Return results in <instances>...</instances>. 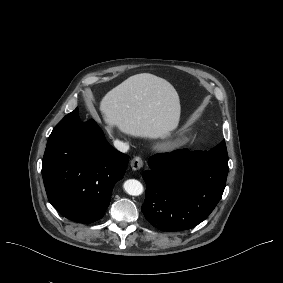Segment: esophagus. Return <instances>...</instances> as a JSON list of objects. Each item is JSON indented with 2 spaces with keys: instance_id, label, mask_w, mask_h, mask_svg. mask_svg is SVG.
<instances>
[{
  "instance_id": "1",
  "label": "esophagus",
  "mask_w": 283,
  "mask_h": 283,
  "mask_svg": "<svg viewBox=\"0 0 283 283\" xmlns=\"http://www.w3.org/2000/svg\"><path fill=\"white\" fill-rule=\"evenodd\" d=\"M131 167L133 170H139L143 167V160L140 157H134L131 160Z\"/></svg>"
}]
</instances>
